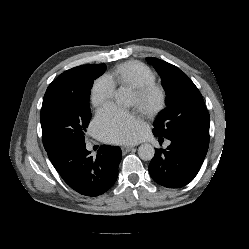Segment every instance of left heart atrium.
<instances>
[{
	"label": "left heart atrium",
	"mask_w": 249,
	"mask_h": 249,
	"mask_svg": "<svg viewBox=\"0 0 249 249\" xmlns=\"http://www.w3.org/2000/svg\"><path fill=\"white\" fill-rule=\"evenodd\" d=\"M95 128L106 142L133 143L142 137L144 123L137 113L108 105L98 111Z\"/></svg>",
	"instance_id": "1"
}]
</instances>
